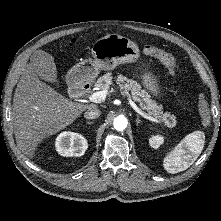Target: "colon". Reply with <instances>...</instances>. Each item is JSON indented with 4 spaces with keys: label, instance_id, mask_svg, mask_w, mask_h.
<instances>
[{
    "label": "colon",
    "instance_id": "1",
    "mask_svg": "<svg viewBox=\"0 0 221 221\" xmlns=\"http://www.w3.org/2000/svg\"><path fill=\"white\" fill-rule=\"evenodd\" d=\"M142 53L147 56L158 58L172 74L178 72V67L175 63L173 56L163 50H160L152 45H146L142 49ZM198 109L201 117L203 127H209L211 124L209 104L203 94L197 96Z\"/></svg>",
    "mask_w": 221,
    "mask_h": 221
}]
</instances>
